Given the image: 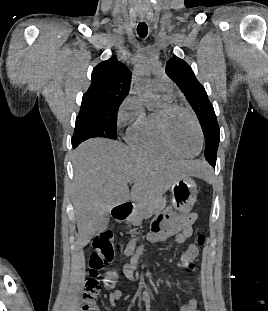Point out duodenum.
<instances>
[{"label": "duodenum", "mask_w": 268, "mask_h": 311, "mask_svg": "<svg viewBox=\"0 0 268 311\" xmlns=\"http://www.w3.org/2000/svg\"><path fill=\"white\" fill-rule=\"evenodd\" d=\"M132 209H133V206L129 202L118 204L113 209V212H112L113 217L117 222H124L126 218L128 217V215L130 214V212L132 211Z\"/></svg>", "instance_id": "1"}]
</instances>
